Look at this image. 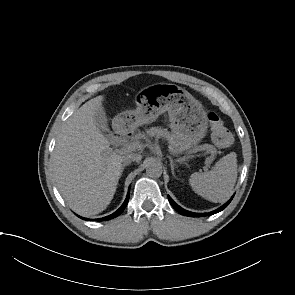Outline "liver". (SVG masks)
<instances>
[{"instance_id":"1","label":"liver","mask_w":295,"mask_h":295,"mask_svg":"<svg viewBox=\"0 0 295 295\" xmlns=\"http://www.w3.org/2000/svg\"><path fill=\"white\" fill-rule=\"evenodd\" d=\"M104 96L75 111L63 125L52 154L57 187L77 214L91 216L111 203L121 175L123 157L109 147L95 124Z\"/></svg>"}]
</instances>
